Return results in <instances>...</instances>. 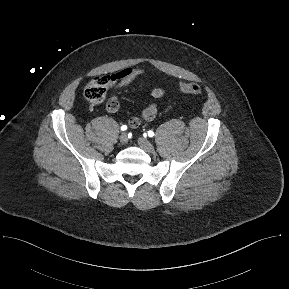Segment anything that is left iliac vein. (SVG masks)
I'll use <instances>...</instances> for the list:
<instances>
[{"label": "left iliac vein", "mask_w": 289, "mask_h": 289, "mask_svg": "<svg viewBox=\"0 0 289 289\" xmlns=\"http://www.w3.org/2000/svg\"><path fill=\"white\" fill-rule=\"evenodd\" d=\"M138 144L144 151L148 153L154 152V146L147 139L140 137L138 139Z\"/></svg>", "instance_id": "left-iliac-vein-1"}]
</instances>
